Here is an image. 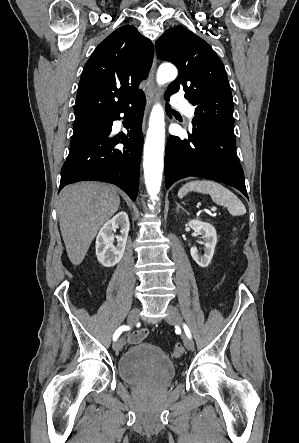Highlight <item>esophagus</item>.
<instances>
[{
  "label": "esophagus",
  "instance_id": "esophagus-1",
  "mask_svg": "<svg viewBox=\"0 0 299 443\" xmlns=\"http://www.w3.org/2000/svg\"><path fill=\"white\" fill-rule=\"evenodd\" d=\"M156 66H157V57L156 54L154 55V59H153V64L151 67V71L148 77V86L146 89V108H145V113H144V119H143V130L145 129V124H146V118L148 115V112L150 110V107L155 99V96H159L161 94V91H158L155 87V82H154V77H155V72H156Z\"/></svg>",
  "mask_w": 299,
  "mask_h": 443
}]
</instances>
